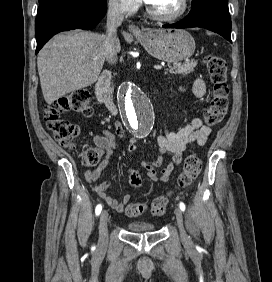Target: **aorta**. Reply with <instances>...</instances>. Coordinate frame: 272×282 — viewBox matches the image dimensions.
<instances>
[{
  "mask_svg": "<svg viewBox=\"0 0 272 282\" xmlns=\"http://www.w3.org/2000/svg\"><path fill=\"white\" fill-rule=\"evenodd\" d=\"M120 108L125 123L138 136L152 130L155 112L143 89L134 82L125 83L120 91Z\"/></svg>",
  "mask_w": 272,
  "mask_h": 282,
  "instance_id": "1",
  "label": "aorta"
}]
</instances>
